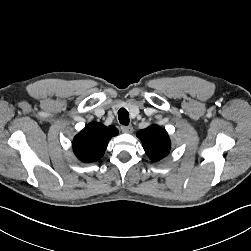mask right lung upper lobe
Here are the masks:
<instances>
[{
    "mask_svg": "<svg viewBox=\"0 0 251 251\" xmlns=\"http://www.w3.org/2000/svg\"><path fill=\"white\" fill-rule=\"evenodd\" d=\"M116 135V127L92 122L75 136L74 153L83 162L98 161L104 155L109 140Z\"/></svg>",
    "mask_w": 251,
    "mask_h": 251,
    "instance_id": "right-lung-upper-lobe-1",
    "label": "right lung upper lobe"
}]
</instances>
